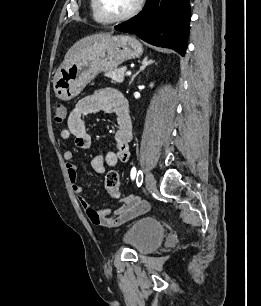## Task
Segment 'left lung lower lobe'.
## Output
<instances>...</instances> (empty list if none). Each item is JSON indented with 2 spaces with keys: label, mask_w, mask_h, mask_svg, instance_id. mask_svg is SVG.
I'll return each instance as SVG.
<instances>
[{
  "label": "left lung lower lobe",
  "mask_w": 261,
  "mask_h": 306,
  "mask_svg": "<svg viewBox=\"0 0 261 306\" xmlns=\"http://www.w3.org/2000/svg\"><path fill=\"white\" fill-rule=\"evenodd\" d=\"M190 19L189 0H161L160 7L149 0L140 14L115 29L136 34L152 45L174 49L184 56Z\"/></svg>",
  "instance_id": "obj_1"
}]
</instances>
